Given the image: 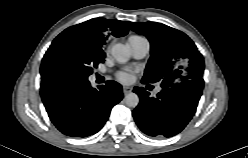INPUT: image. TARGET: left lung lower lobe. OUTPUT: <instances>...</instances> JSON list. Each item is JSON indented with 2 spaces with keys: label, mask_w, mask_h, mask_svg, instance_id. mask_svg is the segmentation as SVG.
I'll return each mask as SVG.
<instances>
[{
  "label": "left lung lower lobe",
  "mask_w": 248,
  "mask_h": 158,
  "mask_svg": "<svg viewBox=\"0 0 248 158\" xmlns=\"http://www.w3.org/2000/svg\"><path fill=\"white\" fill-rule=\"evenodd\" d=\"M140 103L132 112L138 127L153 137H171L181 132L193 117L201 88L179 85L162 89L156 98L143 87H135Z\"/></svg>",
  "instance_id": "left-lung-lower-lobe-1"
}]
</instances>
